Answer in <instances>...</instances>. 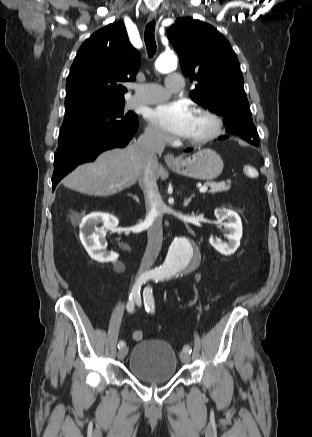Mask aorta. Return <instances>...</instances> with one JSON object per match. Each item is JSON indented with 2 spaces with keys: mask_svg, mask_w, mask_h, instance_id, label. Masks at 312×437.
<instances>
[{
  "mask_svg": "<svg viewBox=\"0 0 312 437\" xmlns=\"http://www.w3.org/2000/svg\"><path fill=\"white\" fill-rule=\"evenodd\" d=\"M176 66L177 58L173 53H164L155 62L156 69L161 73H168ZM197 258L198 251L188 239L175 238L159 271L164 276H173L188 269Z\"/></svg>",
  "mask_w": 312,
  "mask_h": 437,
  "instance_id": "obj_1",
  "label": "aorta"
}]
</instances>
